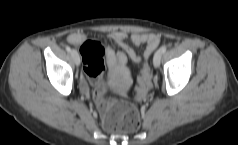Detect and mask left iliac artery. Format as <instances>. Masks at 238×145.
<instances>
[{"mask_svg":"<svg viewBox=\"0 0 238 145\" xmlns=\"http://www.w3.org/2000/svg\"><path fill=\"white\" fill-rule=\"evenodd\" d=\"M167 50V47L166 46H162L159 51L161 52V54H164Z\"/></svg>","mask_w":238,"mask_h":145,"instance_id":"left-iliac-artery-1","label":"left iliac artery"}]
</instances>
